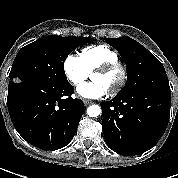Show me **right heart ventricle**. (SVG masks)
Masks as SVG:
<instances>
[{
  "label": "right heart ventricle",
  "instance_id": "1",
  "mask_svg": "<svg viewBox=\"0 0 178 178\" xmlns=\"http://www.w3.org/2000/svg\"><path fill=\"white\" fill-rule=\"evenodd\" d=\"M79 57L89 73L105 63L119 60L117 52L104 44L90 45L83 48Z\"/></svg>",
  "mask_w": 178,
  "mask_h": 178
}]
</instances>
